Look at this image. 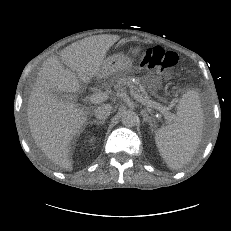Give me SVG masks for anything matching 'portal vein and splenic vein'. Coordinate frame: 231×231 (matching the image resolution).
I'll use <instances>...</instances> for the list:
<instances>
[{"label":"portal vein and splenic vein","mask_w":231,"mask_h":231,"mask_svg":"<svg viewBox=\"0 0 231 231\" xmlns=\"http://www.w3.org/2000/svg\"><path fill=\"white\" fill-rule=\"evenodd\" d=\"M131 94L133 95V97L137 101H139L143 105L147 106L148 108L160 109V108H156V106H154L153 102L146 100L145 98H143L139 94H137L133 91L131 92ZM107 98H108V95L106 93L96 92L89 97V100L91 103L97 104V103H101V102L105 101ZM162 111H163V114L166 117V119L171 120V118H172L171 114L166 109H163Z\"/></svg>","instance_id":"portal-vein-and-splenic-vein-1"}]
</instances>
